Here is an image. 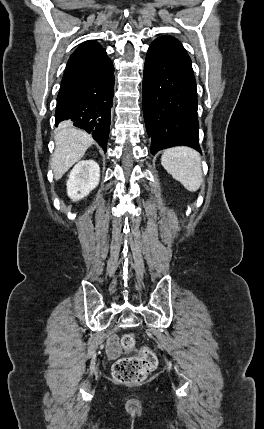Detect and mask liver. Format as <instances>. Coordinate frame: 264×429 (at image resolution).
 <instances>
[{"instance_id": "obj_1", "label": "liver", "mask_w": 264, "mask_h": 429, "mask_svg": "<svg viewBox=\"0 0 264 429\" xmlns=\"http://www.w3.org/2000/svg\"><path fill=\"white\" fill-rule=\"evenodd\" d=\"M93 143L92 136L87 132L64 122L55 135L56 146L51 159L55 180L62 178Z\"/></svg>"}]
</instances>
